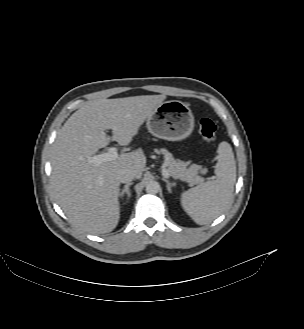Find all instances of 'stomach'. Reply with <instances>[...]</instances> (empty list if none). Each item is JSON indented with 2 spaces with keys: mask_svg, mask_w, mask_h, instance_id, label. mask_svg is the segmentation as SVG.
Wrapping results in <instances>:
<instances>
[{
  "mask_svg": "<svg viewBox=\"0 0 304 329\" xmlns=\"http://www.w3.org/2000/svg\"><path fill=\"white\" fill-rule=\"evenodd\" d=\"M147 129L155 137L168 141L187 138L194 128V116L187 104L171 100L163 102L147 119Z\"/></svg>",
  "mask_w": 304,
  "mask_h": 329,
  "instance_id": "1",
  "label": "stomach"
}]
</instances>
